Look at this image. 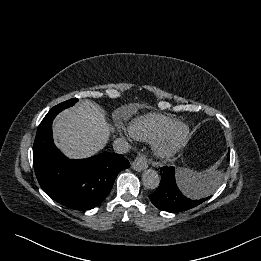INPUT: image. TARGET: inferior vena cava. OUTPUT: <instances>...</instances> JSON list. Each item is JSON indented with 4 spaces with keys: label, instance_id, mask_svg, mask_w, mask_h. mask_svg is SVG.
<instances>
[{
    "label": "inferior vena cava",
    "instance_id": "obj_1",
    "mask_svg": "<svg viewBox=\"0 0 261 261\" xmlns=\"http://www.w3.org/2000/svg\"><path fill=\"white\" fill-rule=\"evenodd\" d=\"M113 149L116 153L124 154L129 151L130 146L124 138H117L113 142Z\"/></svg>",
    "mask_w": 261,
    "mask_h": 261
}]
</instances>
